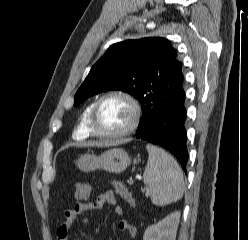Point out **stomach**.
<instances>
[{"instance_id": "obj_1", "label": "stomach", "mask_w": 248, "mask_h": 240, "mask_svg": "<svg viewBox=\"0 0 248 240\" xmlns=\"http://www.w3.org/2000/svg\"><path fill=\"white\" fill-rule=\"evenodd\" d=\"M138 159H134L137 163ZM131 164V158L128 153L121 148H112L100 156L94 154L81 155L76 161L77 167L85 172L103 169L111 173H120Z\"/></svg>"}]
</instances>
